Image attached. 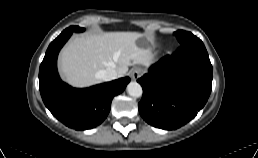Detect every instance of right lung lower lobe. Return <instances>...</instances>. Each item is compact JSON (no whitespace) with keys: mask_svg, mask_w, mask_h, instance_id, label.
Here are the masks:
<instances>
[{"mask_svg":"<svg viewBox=\"0 0 258 158\" xmlns=\"http://www.w3.org/2000/svg\"><path fill=\"white\" fill-rule=\"evenodd\" d=\"M71 34L65 29L49 45L39 69V88L45 106L58 120L75 130H86L104 121L113 97L124 91L130 78L85 89L72 88L62 82L57 72V56Z\"/></svg>","mask_w":258,"mask_h":158,"instance_id":"obj_1","label":"right lung lower lobe"}]
</instances>
